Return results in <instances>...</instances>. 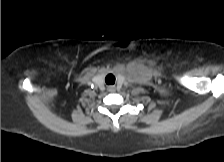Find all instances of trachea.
Wrapping results in <instances>:
<instances>
[{
  "mask_svg": "<svg viewBox=\"0 0 224 162\" xmlns=\"http://www.w3.org/2000/svg\"><path fill=\"white\" fill-rule=\"evenodd\" d=\"M105 82L107 84H114L115 83V77L113 74H108L106 77H105Z\"/></svg>",
  "mask_w": 224,
  "mask_h": 162,
  "instance_id": "1",
  "label": "trachea"
}]
</instances>
